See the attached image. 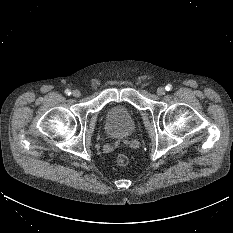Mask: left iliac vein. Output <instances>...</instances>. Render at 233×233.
Segmentation results:
<instances>
[{"instance_id": "1", "label": "left iliac vein", "mask_w": 233, "mask_h": 233, "mask_svg": "<svg viewBox=\"0 0 233 233\" xmlns=\"http://www.w3.org/2000/svg\"><path fill=\"white\" fill-rule=\"evenodd\" d=\"M165 92H166V90H165L164 87H159V88L157 89V94L160 95V96H161V95H164Z\"/></svg>"}]
</instances>
